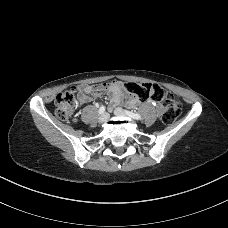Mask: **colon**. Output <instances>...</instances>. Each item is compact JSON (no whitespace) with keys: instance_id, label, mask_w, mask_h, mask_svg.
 <instances>
[{"instance_id":"obj_1","label":"colon","mask_w":228,"mask_h":228,"mask_svg":"<svg viewBox=\"0 0 228 228\" xmlns=\"http://www.w3.org/2000/svg\"><path fill=\"white\" fill-rule=\"evenodd\" d=\"M124 88L130 94L136 95L141 100H156L163 102L162 121L166 124L174 122L181 114V104L158 85L151 83L127 82ZM75 90L69 89L57 94L54 104L56 116L67 120L74 114Z\"/></svg>"}]
</instances>
